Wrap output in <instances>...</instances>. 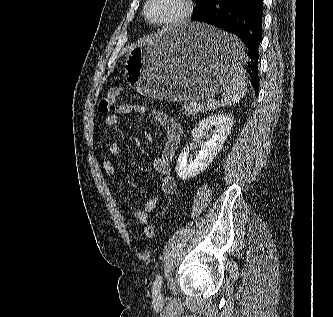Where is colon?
<instances>
[{
	"label": "colon",
	"mask_w": 333,
	"mask_h": 317,
	"mask_svg": "<svg viewBox=\"0 0 333 317\" xmlns=\"http://www.w3.org/2000/svg\"><path fill=\"white\" fill-rule=\"evenodd\" d=\"M121 92V89H112L106 96L101 99L98 107L99 111L103 114L107 113ZM144 233L149 239H154L156 237V229L152 225H147L144 228Z\"/></svg>",
	"instance_id": "colon-1"
}]
</instances>
